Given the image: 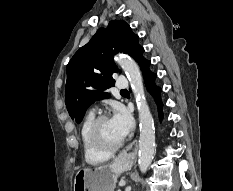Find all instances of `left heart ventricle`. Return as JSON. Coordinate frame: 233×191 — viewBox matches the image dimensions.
I'll list each match as a JSON object with an SVG mask.
<instances>
[{
    "mask_svg": "<svg viewBox=\"0 0 233 191\" xmlns=\"http://www.w3.org/2000/svg\"><path fill=\"white\" fill-rule=\"evenodd\" d=\"M99 136L102 142L108 146L115 145L122 140L110 119L101 123L99 127Z\"/></svg>",
    "mask_w": 233,
    "mask_h": 191,
    "instance_id": "obj_1",
    "label": "left heart ventricle"
}]
</instances>
